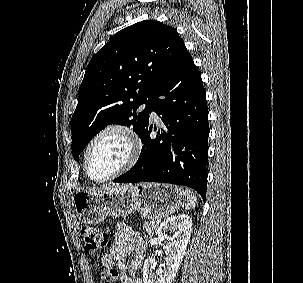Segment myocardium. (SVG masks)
<instances>
[{"label": "myocardium", "instance_id": "obj_1", "mask_svg": "<svg viewBox=\"0 0 303 283\" xmlns=\"http://www.w3.org/2000/svg\"><path fill=\"white\" fill-rule=\"evenodd\" d=\"M109 133H118L124 136V138L127 140L129 145V154L127 157V160L125 163L119 167L117 170H115L112 174L104 177V178H94L90 175L88 170V157L90 154V151L93 147V145L96 143L97 140H99L101 137H103L106 134ZM141 153V141L137 135V133L129 126L120 124V123H112L108 124L107 126L103 127L101 130H99L89 141L85 152H84V158H83V167L84 171L87 175V177L97 183L107 182L109 180L115 179L122 174L128 172L130 169H132L135 164L137 163Z\"/></svg>", "mask_w": 303, "mask_h": 283}]
</instances>
